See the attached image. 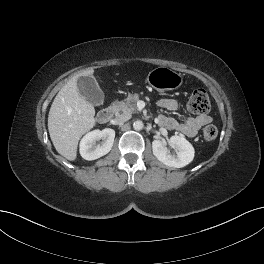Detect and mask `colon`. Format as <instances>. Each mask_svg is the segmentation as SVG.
I'll return each instance as SVG.
<instances>
[{
    "mask_svg": "<svg viewBox=\"0 0 264 264\" xmlns=\"http://www.w3.org/2000/svg\"><path fill=\"white\" fill-rule=\"evenodd\" d=\"M188 109L192 113L199 115H205L209 112L210 101L204 89L198 88L191 93L188 101ZM217 134L218 130L212 124L205 126L202 130V138L207 142L213 141L217 137Z\"/></svg>",
    "mask_w": 264,
    "mask_h": 264,
    "instance_id": "5ec220e1",
    "label": "colon"
}]
</instances>
